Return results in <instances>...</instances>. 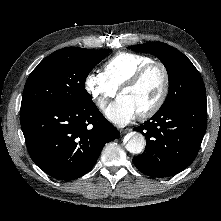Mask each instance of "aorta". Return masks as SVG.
Returning <instances> with one entry per match:
<instances>
[{
    "label": "aorta",
    "instance_id": "aorta-1",
    "mask_svg": "<svg viewBox=\"0 0 221 221\" xmlns=\"http://www.w3.org/2000/svg\"><path fill=\"white\" fill-rule=\"evenodd\" d=\"M145 146V137L139 132H134L131 134L125 148L132 154H140L145 149Z\"/></svg>",
    "mask_w": 221,
    "mask_h": 221
}]
</instances>
